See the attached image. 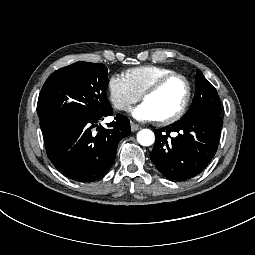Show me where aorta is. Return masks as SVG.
Returning a JSON list of instances; mask_svg holds the SVG:
<instances>
[{"instance_id":"obj_1","label":"aorta","mask_w":255,"mask_h":255,"mask_svg":"<svg viewBox=\"0 0 255 255\" xmlns=\"http://www.w3.org/2000/svg\"><path fill=\"white\" fill-rule=\"evenodd\" d=\"M155 136L154 133L149 129H143L137 134V141L142 146H150L154 143Z\"/></svg>"}]
</instances>
